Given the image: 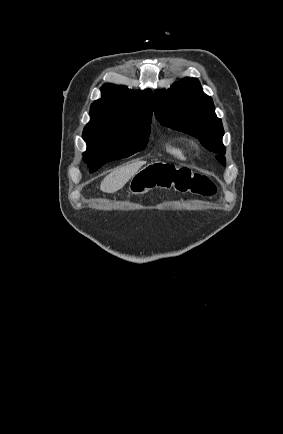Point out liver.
Here are the masks:
<instances>
[{
  "mask_svg": "<svg viewBox=\"0 0 283 434\" xmlns=\"http://www.w3.org/2000/svg\"><path fill=\"white\" fill-rule=\"evenodd\" d=\"M146 163V161H136L113 170L102 180L101 191L114 193L120 190Z\"/></svg>",
  "mask_w": 283,
  "mask_h": 434,
  "instance_id": "obj_1",
  "label": "liver"
}]
</instances>
